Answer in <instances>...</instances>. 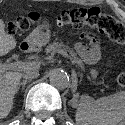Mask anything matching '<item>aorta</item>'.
Masks as SVG:
<instances>
[{
  "label": "aorta",
  "mask_w": 125,
  "mask_h": 125,
  "mask_svg": "<svg viewBox=\"0 0 125 125\" xmlns=\"http://www.w3.org/2000/svg\"><path fill=\"white\" fill-rule=\"evenodd\" d=\"M50 84L59 90L66 89L70 85V80L66 72L54 69L50 74Z\"/></svg>",
  "instance_id": "762f6f07"
}]
</instances>
